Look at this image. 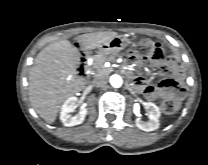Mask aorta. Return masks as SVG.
<instances>
[{
	"instance_id": "obj_1",
	"label": "aorta",
	"mask_w": 208,
	"mask_h": 165,
	"mask_svg": "<svg viewBox=\"0 0 208 165\" xmlns=\"http://www.w3.org/2000/svg\"><path fill=\"white\" fill-rule=\"evenodd\" d=\"M122 78L119 75H112L110 77V84L115 87V88H119L122 86Z\"/></svg>"
}]
</instances>
